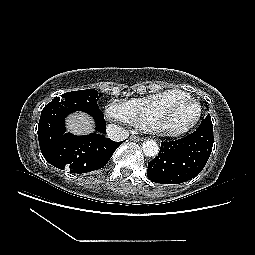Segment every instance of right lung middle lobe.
I'll list each match as a JSON object with an SVG mask.
<instances>
[{"instance_id":"obj_1","label":"right lung middle lobe","mask_w":255,"mask_h":255,"mask_svg":"<svg viewBox=\"0 0 255 255\" xmlns=\"http://www.w3.org/2000/svg\"><path fill=\"white\" fill-rule=\"evenodd\" d=\"M101 96L97 90L72 91L55 97L41 112L38 131L41 133L40 148L46 149L54 138L64 129L65 117L75 111H83L94 117L102 118L97 100Z\"/></svg>"}]
</instances>
